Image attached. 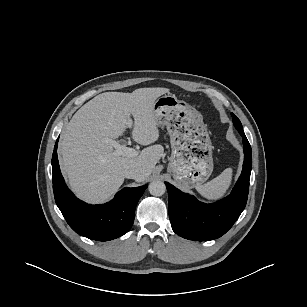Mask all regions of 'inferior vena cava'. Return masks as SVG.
Listing matches in <instances>:
<instances>
[{"mask_svg": "<svg viewBox=\"0 0 307 307\" xmlns=\"http://www.w3.org/2000/svg\"><path fill=\"white\" fill-rule=\"evenodd\" d=\"M123 176L128 179H137L140 173L136 169L128 168L123 171Z\"/></svg>", "mask_w": 307, "mask_h": 307, "instance_id": "602c4592", "label": "inferior vena cava"}]
</instances>
